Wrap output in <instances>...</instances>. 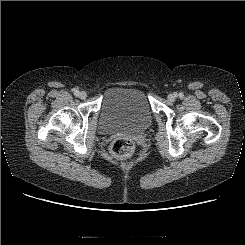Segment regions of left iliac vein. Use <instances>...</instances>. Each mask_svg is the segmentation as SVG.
<instances>
[{
  "label": "left iliac vein",
  "mask_w": 245,
  "mask_h": 245,
  "mask_svg": "<svg viewBox=\"0 0 245 245\" xmlns=\"http://www.w3.org/2000/svg\"><path fill=\"white\" fill-rule=\"evenodd\" d=\"M167 98H168V101L174 102L176 100V95L175 94H169Z\"/></svg>",
  "instance_id": "obj_1"
}]
</instances>
